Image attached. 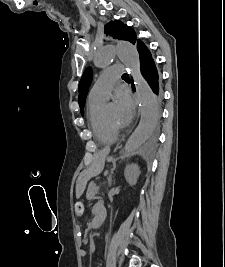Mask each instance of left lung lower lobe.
Returning a JSON list of instances; mask_svg holds the SVG:
<instances>
[{
    "instance_id": "obj_1",
    "label": "left lung lower lobe",
    "mask_w": 225,
    "mask_h": 267,
    "mask_svg": "<svg viewBox=\"0 0 225 267\" xmlns=\"http://www.w3.org/2000/svg\"><path fill=\"white\" fill-rule=\"evenodd\" d=\"M136 46L139 53L141 74L143 75L150 88L152 89L153 93L155 94L157 105L160 106L162 100V89L156 65L154 63L150 51L141 40H138ZM132 87L135 91L133 80Z\"/></svg>"
}]
</instances>
